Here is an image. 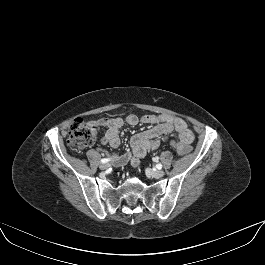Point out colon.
<instances>
[{"instance_id":"5ec220e1","label":"colon","mask_w":265,"mask_h":265,"mask_svg":"<svg viewBox=\"0 0 265 265\" xmlns=\"http://www.w3.org/2000/svg\"><path fill=\"white\" fill-rule=\"evenodd\" d=\"M96 139V126L87 123L80 118H77L72 122L68 132V145L73 152H81L85 148L94 144ZM173 147L180 155H186L191 151V146L180 140L175 141Z\"/></svg>"}]
</instances>
